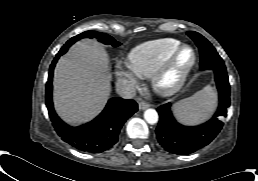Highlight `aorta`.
I'll list each match as a JSON object with an SVG mask.
<instances>
[{
  "instance_id": "1",
  "label": "aorta",
  "mask_w": 258,
  "mask_h": 181,
  "mask_svg": "<svg viewBox=\"0 0 258 181\" xmlns=\"http://www.w3.org/2000/svg\"><path fill=\"white\" fill-rule=\"evenodd\" d=\"M144 118L149 124H155L158 122L159 116L156 110L150 108L144 112Z\"/></svg>"
}]
</instances>
